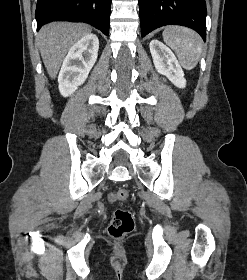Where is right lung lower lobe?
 <instances>
[{
  "mask_svg": "<svg viewBox=\"0 0 247 280\" xmlns=\"http://www.w3.org/2000/svg\"><path fill=\"white\" fill-rule=\"evenodd\" d=\"M111 0H38L37 30L48 22H87L109 35Z\"/></svg>",
  "mask_w": 247,
  "mask_h": 280,
  "instance_id": "right-lung-lower-lobe-1",
  "label": "right lung lower lobe"
}]
</instances>
